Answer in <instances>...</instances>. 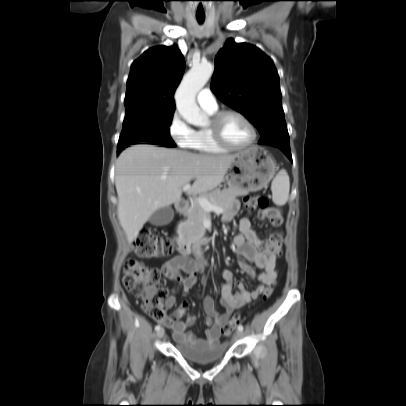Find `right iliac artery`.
<instances>
[{"label":"right iliac artery","instance_id":"obj_1","mask_svg":"<svg viewBox=\"0 0 406 406\" xmlns=\"http://www.w3.org/2000/svg\"><path fill=\"white\" fill-rule=\"evenodd\" d=\"M160 329H161V326H160V325H156L155 330H156V331H159Z\"/></svg>","mask_w":406,"mask_h":406}]
</instances>
